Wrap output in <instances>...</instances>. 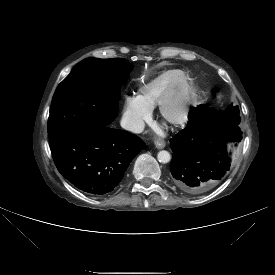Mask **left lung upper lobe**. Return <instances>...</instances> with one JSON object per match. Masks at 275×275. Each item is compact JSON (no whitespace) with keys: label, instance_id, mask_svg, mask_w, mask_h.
<instances>
[{"label":"left lung upper lobe","instance_id":"left-lung-upper-lobe-1","mask_svg":"<svg viewBox=\"0 0 275 275\" xmlns=\"http://www.w3.org/2000/svg\"><path fill=\"white\" fill-rule=\"evenodd\" d=\"M210 118H217L218 120L238 125L240 122L238 106L230 105L226 110L218 111L206 105H199L192 111V119Z\"/></svg>","mask_w":275,"mask_h":275}]
</instances>
